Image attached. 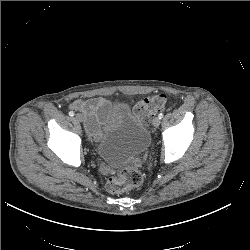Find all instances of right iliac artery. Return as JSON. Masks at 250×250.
<instances>
[{
  "label": "right iliac artery",
  "mask_w": 250,
  "mask_h": 250,
  "mask_svg": "<svg viewBox=\"0 0 250 250\" xmlns=\"http://www.w3.org/2000/svg\"><path fill=\"white\" fill-rule=\"evenodd\" d=\"M74 114H75V113H74L73 111H70V112H69V116H71V117H73Z\"/></svg>",
  "instance_id": "right-iliac-artery-1"
}]
</instances>
